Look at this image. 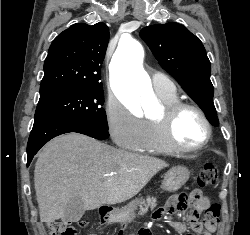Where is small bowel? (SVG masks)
Listing matches in <instances>:
<instances>
[{
  "instance_id": "1",
  "label": "small bowel",
  "mask_w": 250,
  "mask_h": 235,
  "mask_svg": "<svg viewBox=\"0 0 250 235\" xmlns=\"http://www.w3.org/2000/svg\"><path fill=\"white\" fill-rule=\"evenodd\" d=\"M193 194H196L198 198L191 203L179 197H172L165 206L158 208L153 213V219L161 220L165 216L180 212L187 219V224L174 223V227L181 235H213L217 225H206L198 221L199 214L209 205L210 199L200 192H194ZM119 235H122V233H119Z\"/></svg>"
}]
</instances>
